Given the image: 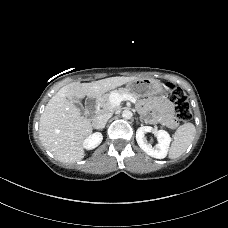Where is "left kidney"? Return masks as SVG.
<instances>
[{
    "label": "left kidney",
    "instance_id": "left-kidney-1",
    "mask_svg": "<svg viewBox=\"0 0 228 228\" xmlns=\"http://www.w3.org/2000/svg\"><path fill=\"white\" fill-rule=\"evenodd\" d=\"M154 132L158 143L153 147L150 143L145 140V133ZM136 141L140 148L151 157L156 159H163L167 156L171 137L165 130L155 131L150 126H142L136 131Z\"/></svg>",
    "mask_w": 228,
    "mask_h": 228
}]
</instances>
